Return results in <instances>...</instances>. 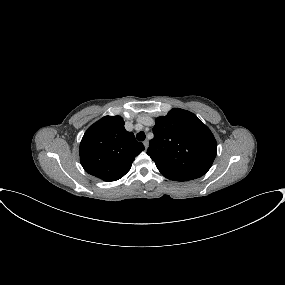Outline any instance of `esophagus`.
I'll return each instance as SVG.
<instances>
[{"instance_id": "obj_1", "label": "esophagus", "mask_w": 285, "mask_h": 285, "mask_svg": "<svg viewBox=\"0 0 285 285\" xmlns=\"http://www.w3.org/2000/svg\"><path fill=\"white\" fill-rule=\"evenodd\" d=\"M143 144H144L145 150H147L148 149V145H149L148 141L147 140L144 141Z\"/></svg>"}]
</instances>
